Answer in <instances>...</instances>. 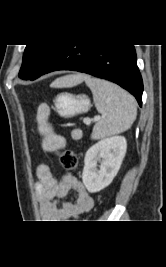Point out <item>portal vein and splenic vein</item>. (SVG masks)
Wrapping results in <instances>:
<instances>
[{
    "mask_svg": "<svg viewBox=\"0 0 166 267\" xmlns=\"http://www.w3.org/2000/svg\"><path fill=\"white\" fill-rule=\"evenodd\" d=\"M102 117L101 116H96L95 118H94V121H97V120H100ZM91 119H89V118H87V119H84V123L86 124V125H90L91 124Z\"/></svg>",
    "mask_w": 166,
    "mask_h": 267,
    "instance_id": "18ae733b",
    "label": "portal vein and splenic vein"
}]
</instances>
